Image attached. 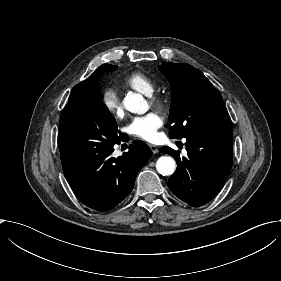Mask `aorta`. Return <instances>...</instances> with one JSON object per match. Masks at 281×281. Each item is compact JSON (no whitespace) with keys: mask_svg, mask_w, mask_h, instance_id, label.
Listing matches in <instances>:
<instances>
[{"mask_svg":"<svg viewBox=\"0 0 281 281\" xmlns=\"http://www.w3.org/2000/svg\"><path fill=\"white\" fill-rule=\"evenodd\" d=\"M124 107L131 113L144 114L148 109V103L142 95L128 94L123 100ZM157 171L163 176L172 175L176 169V162L171 156H161L156 162Z\"/></svg>","mask_w":281,"mask_h":281,"instance_id":"obj_1","label":"aorta"}]
</instances>
